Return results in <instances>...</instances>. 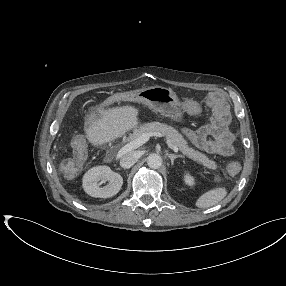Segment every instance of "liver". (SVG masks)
Masks as SVG:
<instances>
[{
	"instance_id": "1",
	"label": "liver",
	"mask_w": 286,
	"mask_h": 286,
	"mask_svg": "<svg viewBox=\"0 0 286 286\" xmlns=\"http://www.w3.org/2000/svg\"><path fill=\"white\" fill-rule=\"evenodd\" d=\"M139 110L132 105L100 111L101 118L91 117L85 134L92 145L108 143L138 125Z\"/></svg>"
}]
</instances>
